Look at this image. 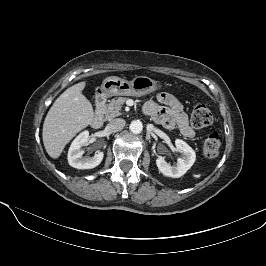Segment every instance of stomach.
<instances>
[{
	"label": "stomach",
	"instance_id": "1",
	"mask_svg": "<svg viewBox=\"0 0 266 266\" xmlns=\"http://www.w3.org/2000/svg\"><path fill=\"white\" fill-rule=\"evenodd\" d=\"M162 84L147 76H136L132 81H127L116 76L103 80L101 92L106 97L130 95L145 96L161 89Z\"/></svg>",
	"mask_w": 266,
	"mask_h": 266
}]
</instances>
